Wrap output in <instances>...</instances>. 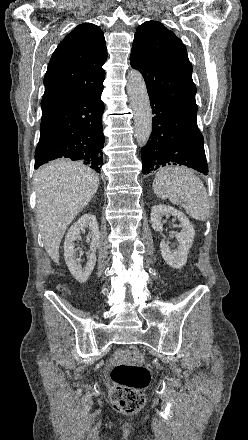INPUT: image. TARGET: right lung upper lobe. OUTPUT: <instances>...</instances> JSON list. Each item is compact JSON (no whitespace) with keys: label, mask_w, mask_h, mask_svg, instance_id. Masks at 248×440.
Here are the masks:
<instances>
[{"label":"right lung upper lobe","mask_w":248,"mask_h":440,"mask_svg":"<svg viewBox=\"0 0 248 440\" xmlns=\"http://www.w3.org/2000/svg\"><path fill=\"white\" fill-rule=\"evenodd\" d=\"M107 59L103 32L90 23L78 25L54 51L44 78L42 110L72 97L103 89Z\"/></svg>","instance_id":"obj_1"}]
</instances>
